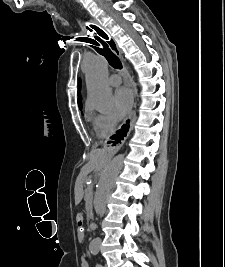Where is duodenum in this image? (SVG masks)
Returning <instances> with one entry per match:
<instances>
[{
  "mask_svg": "<svg viewBox=\"0 0 225 267\" xmlns=\"http://www.w3.org/2000/svg\"><path fill=\"white\" fill-rule=\"evenodd\" d=\"M90 228H91L92 230H94V229L96 228L95 223H91V224H90Z\"/></svg>",
  "mask_w": 225,
  "mask_h": 267,
  "instance_id": "410a0bca",
  "label": "duodenum"
}]
</instances>
